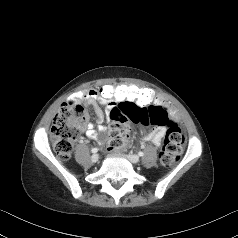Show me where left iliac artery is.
Listing matches in <instances>:
<instances>
[{
    "label": "left iliac artery",
    "instance_id": "44dca946",
    "mask_svg": "<svg viewBox=\"0 0 238 238\" xmlns=\"http://www.w3.org/2000/svg\"><path fill=\"white\" fill-rule=\"evenodd\" d=\"M138 155L142 157V156H144V153L140 151V152L138 153Z\"/></svg>",
    "mask_w": 238,
    "mask_h": 238
}]
</instances>
